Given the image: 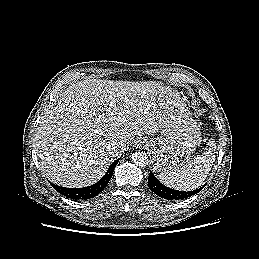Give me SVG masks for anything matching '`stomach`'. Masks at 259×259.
I'll return each mask as SVG.
<instances>
[{
  "label": "stomach",
  "mask_w": 259,
  "mask_h": 259,
  "mask_svg": "<svg viewBox=\"0 0 259 259\" xmlns=\"http://www.w3.org/2000/svg\"><path fill=\"white\" fill-rule=\"evenodd\" d=\"M161 136L148 141L154 171L170 172L181 167L200 143V129L179 93L170 88L160 91Z\"/></svg>",
  "instance_id": "0dacf381"
}]
</instances>
